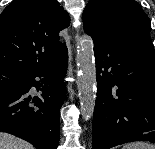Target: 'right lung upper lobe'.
<instances>
[{"label":"right lung upper lobe","mask_w":155,"mask_h":149,"mask_svg":"<svg viewBox=\"0 0 155 149\" xmlns=\"http://www.w3.org/2000/svg\"><path fill=\"white\" fill-rule=\"evenodd\" d=\"M70 17L56 0H14L0 15V69L24 74L45 68L67 52L58 34Z\"/></svg>","instance_id":"obj_1"}]
</instances>
